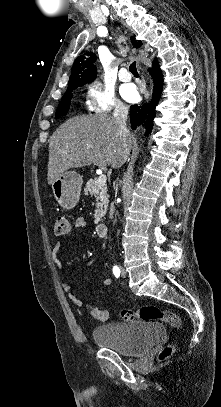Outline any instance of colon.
Listing matches in <instances>:
<instances>
[{
  "mask_svg": "<svg viewBox=\"0 0 221 407\" xmlns=\"http://www.w3.org/2000/svg\"><path fill=\"white\" fill-rule=\"evenodd\" d=\"M69 231V222L66 217L60 216L56 220L55 233L56 235H65ZM91 315L98 320L105 321L109 317L107 310H102L90 307ZM122 320L129 322L135 319H140L146 322L162 321L171 324L176 329L181 328V321L176 314L169 310L161 309L157 306H143L137 311L123 310L120 313ZM175 346L172 344L166 345L158 354V359L161 362L168 360L174 353Z\"/></svg>",
  "mask_w": 221,
  "mask_h": 407,
  "instance_id": "obj_1",
  "label": "colon"
}]
</instances>
